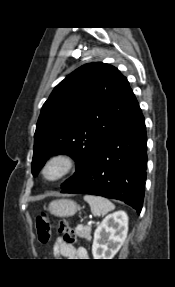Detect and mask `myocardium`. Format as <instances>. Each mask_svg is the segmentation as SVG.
<instances>
[{
	"instance_id": "myocardium-1",
	"label": "myocardium",
	"mask_w": 175,
	"mask_h": 287,
	"mask_svg": "<svg viewBox=\"0 0 175 287\" xmlns=\"http://www.w3.org/2000/svg\"><path fill=\"white\" fill-rule=\"evenodd\" d=\"M54 166L59 167L55 176H48V170ZM77 167L75 157L69 153H57L50 156L41 168V176L48 183H57L70 176Z\"/></svg>"
}]
</instances>
